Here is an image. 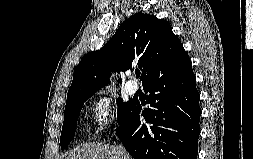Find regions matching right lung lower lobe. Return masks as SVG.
<instances>
[{
	"label": "right lung lower lobe",
	"mask_w": 253,
	"mask_h": 159,
	"mask_svg": "<svg viewBox=\"0 0 253 159\" xmlns=\"http://www.w3.org/2000/svg\"><path fill=\"white\" fill-rule=\"evenodd\" d=\"M150 108L133 102L116 134L134 159H197L200 94L191 65L144 86ZM143 115L146 123H141Z\"/></svg>",
	"instance_id": "right-lung-lower-lobe-1"
}]
</instances>
